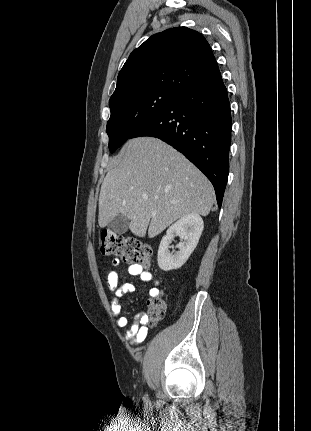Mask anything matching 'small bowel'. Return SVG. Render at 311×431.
Here are the masks:
<instances>
[{"label": "small bowel", "instance_id": "obj_1", "mask_svg": "<svg viewBox=\"0 0 311 431\" xmlns=\"http://www.w3.org/2000/svg\"><path fill=\"white\" fill-rule=\"evenodd\" d=\"M119 260H113V266H118ZM128 273L132 276H138L143 282H151L153 280V275L151 272L144 269L143 266L138 264H132L128 267ZM107 285L114 292V298L112 300V312L116 316V322L119 327H127L129 325V320L127 317L122 316V305L121 299L126 295L133 293L135 291V286L132 283H123L119 285V275L116 271H109L106 275ZM150 296L155 297L159 295V290L157 288H152L150 290ZM146 323L145 315L139 314L134 323L125 331L124 337L130 340L132 343L142 342L146 335L148 329L144 326Z\"/></svg>", "mask_w": 311, "mask_h": 431}]
</instances>
